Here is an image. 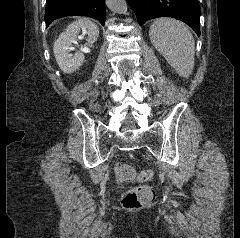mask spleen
Returning <instances> with one entry per match:
<instances>
[{"mask_svg": "<svg viewBox=\"0 0 240 238\" xmlns=\"http://www.w3.org/2000/svg\"><path fill=\"white\" fill-rule=\"evenodd\" d=\"M153 46L165 57L181 77L194 68L195 42L189 29L174 19H156L149 30Z\"/></svg>", "mask_w": 240, "mask_h": 238, "instance_id": "obj_1", "label": "spleen"}]
</instances>
